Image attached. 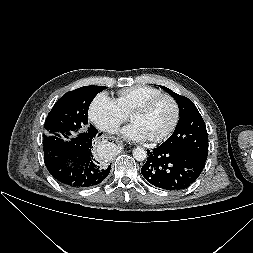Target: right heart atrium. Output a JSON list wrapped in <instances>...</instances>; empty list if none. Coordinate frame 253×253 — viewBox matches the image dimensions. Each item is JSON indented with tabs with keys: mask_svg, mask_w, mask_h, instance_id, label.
Returning <instances> with one entry per match:
<instances>
[{
	"mask_svg": "<svg viewBox=\"0 0 253 253\" xmlns=\"http://www.w3.org/2000/svg\"><path fill=\"white\" fill-rule=\"evenodd\" d=\"M92 123L101 131L115 134L121 124L127 120L116 101L106 93L97 94L92 100L89 112Z\"/></svg>",
	"mask_w": 253,
	"mask_h": 253,
	"instance_id": "right-heart-atrium-1",
	"label": "right heart atrium"
}]
</instances>
